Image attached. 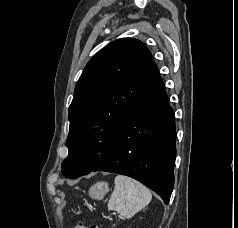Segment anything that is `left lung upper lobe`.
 Segmentation results:
<instances>
[{
  "mask_svg": "<svg viewBox=\"0 0 238 228\" xmlns=\"http://www.w3.org/2000/svg\"><path fill=\"white\" fill-rule=\"evenodd\" d=\"M154 66L151 52L133 38L113 41L90 59L69 106L66 177L89 172L112 154Z\"/></svg>",
  "mask_w": 238,
  "mask_h": 228,
  "instance_id": "obj_1",
  "label": "left lung upper lobe"
}]
</instances>
